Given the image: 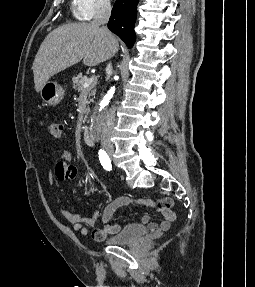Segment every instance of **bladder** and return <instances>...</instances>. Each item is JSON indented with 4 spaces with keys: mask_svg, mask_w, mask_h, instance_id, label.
Masks as SVG:
<instances>
[{
    "mask_svg": "<svg viewBox=\"0 0 255 287\" xmlns=\"http://www.w3.org/2000/svg\"><path fill=\"white\" fill-rule=\"evenodd\" d=\"M148 233V228L140 224H127L120 228L116 233L107 236L104 242L109 245L131 244Z\"/></svg>",
    "mask_w": 255,
    "mask_h": 287,
    "instance_id": "bladder-1",
    "label": "bladder"
}]
</instances>
